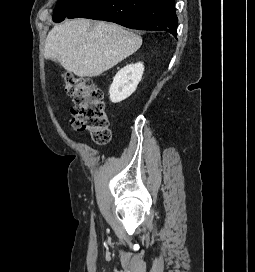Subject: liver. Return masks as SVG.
I'll use <instances>...</instances> for the list:
<instances>
[{"label":"liver","mask_w":255,"mask_h":272,"mask_svg":"<svg viewBox=\"0 0 255 272\" xmlns=\"http://www.w3.org/2000/svg\"><path fill=\"white\" fill-rule=\"evenodd\" d=\"M141 36L123 27L88 19H74L55 25L48 33L44 57L59 61L79 77H95L136 52Z\"/></svg>","instance_id":"1"}]
</instances>
